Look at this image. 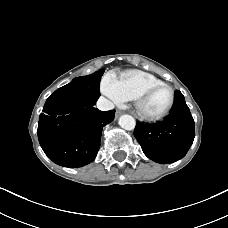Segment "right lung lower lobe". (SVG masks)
I'll list each match as a JSON object with an SVG mask.
<instances>
[{"mask_svg":"<svg viewBox=\"0 0 228 228\" xmlns=\"http://www.w3.org/2000/svg\"><path fill=\"white\" fill-rule=\"evenodd\" d=\"M115 110L100 111L75 101L50 96L40 114L38 139L56 164L81 167L91 163L100 148L101 132L114 120Z\"/></svg>","mask_w":228,"mask_h":228,"instance_id":"98d812e1","label":"right lung lower lobe"}]
</instances>
